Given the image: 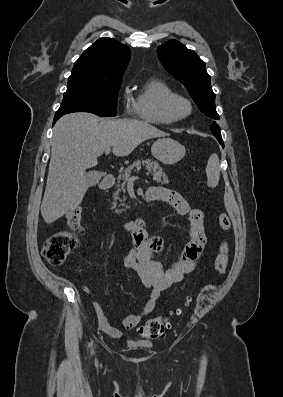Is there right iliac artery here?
<instances>
[{
  "label": "right iliac artery",
  "mask_w": 283,
  "mask_h": 397,
  "mask_svg": "<svg viewBox=\"0 0 283 397\" xmlns=\"http://www.w3.org/2000/svg\"><path fill=\"white\" fill-rule=\"evenodd\" d=\"M92 345H93V342L90 343V346H92Z\"/></svg>",
  "instance_id": "right-iliac-artery-1"
}]
</instances>
